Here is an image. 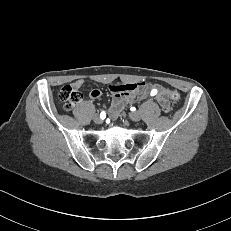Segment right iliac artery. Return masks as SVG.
<instances>
[{
    "label": "right iliac artery",
    "mask_w": 231,
    "mask_h": 231,
    "mask_svg": "<svg viewBox=\"0 0 231 231\" xmlns=\"http://www.w3.org/2000/svg\"><path fill=\"white\" fill-rule=\"evenodd\" d=\"M105 117H106V113L104 111H102L101 114H100V118L105 119Z\"/></svg>",
    "instance_id": "82829eb1"
}]
</instances>
